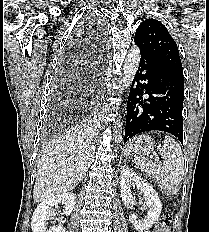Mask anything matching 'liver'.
Wrapping results in <instances>:
<instances>
[{"label":"liver","mask_w":209,"mask_h":232,"mask_svg":"<svg viewBox=\"0 0 209 232\" xmlns=\"http://www.w3.org/2000/svg\"><path fill=\"white\" fill-rule=\"evenodd\" d=\"M91 124L77 125L49 143L38 158L34 202L73 190L89 167Z\"/></svg>","instance_id":"1"}]
</instances>
